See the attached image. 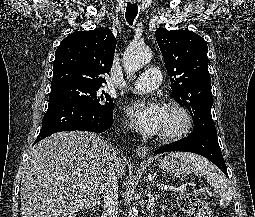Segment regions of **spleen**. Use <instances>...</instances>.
<instances>
[{"label":"spleen","mask_w":255,"mask_h":217,"mask_svg":"<svg viewBox=\"0 0 255 217\" xmlns=\"http://www.w3.org/2000/svg\"><path fill=\"white\" fill-rule=\"evenodd\" d=\"M169 156L180 158L192 166L194 172L205 178L220 196L219 204L227 206L232 200V185L228 179L207 159L190 153H172Z\"/></svg>","instance_id":"obj_1"}]
</instances>
